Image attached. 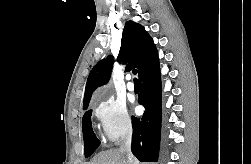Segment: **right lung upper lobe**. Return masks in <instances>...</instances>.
Masks as SVG:
<instances>
[{"label":"right lung upper lobe","instance_id":"right-lung-upper-lobe-1","mask_svg":"<svg viewBox=\"0 0 251 164\" xmlns=\"http://www.w3.org/2000/svg\"><path fill=\"white\" fill-rule=\"evenodd\" d=\"M118 62L128 63L126 71L132 68L138 69L141 77L146 71L159 64L158 52L150 35L144 27L133 21H127L122 33L121 48ZM113 57L99 61L90 72L83 100V107L88 106L94 90L106 84L111 76Z\"/></svg>","mask_w":251,"mask_h":164}]
</instances>
